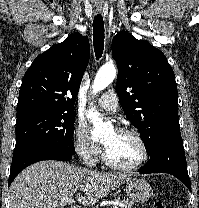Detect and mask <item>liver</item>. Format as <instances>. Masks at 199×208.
I'll use <instances>...</instances> for the list:
<instances>
[{
  "instance_id": "1",
  "label": "liver",
  "mask_w": 199,
  "mask_h": 208,
  "mask_svg": "<svg viewBox=\"0 0 199 208\" xmlns=\"http://www.w3.org/2000/svg\"><path fill=\"white\" fill-rule=\"evenodd\" d=\"M129 177L101 173L60 161H41L23 170L9 189L10 208H57L76 196L94 205Z\"/></svg>"
}]
</instances>
